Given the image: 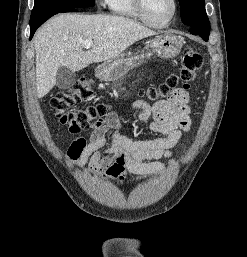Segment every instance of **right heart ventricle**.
Returning a JSON list of instances; mask_svg holds the SVG:
<instances>
[{"instance_id":"1","label":"right heart ventricle","mask_w":247,"mask_h":257,"mask_svg":"<svg viewBox=\"0 0 247 257\" xmlns=\"http://www.w3.org/2000/svg\"><path fill=\"white\" fill-rule=\"evenodd\" d=\"M107 5L113 14L141 19L134 6L133 0H108Z\"/></svg>"}]
</instances>
